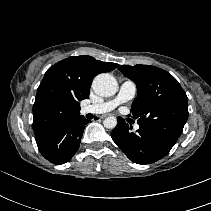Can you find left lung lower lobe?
<instances>
[{"label":"left lung lower lobe","instance_id":"1","mask_svg":"<svg viewBox=\"0 0 211 211\" xmlns=\"http://www.w3.org/2000/svg\"><path fill=\"white\" fill-rule=\"evenodd\" d=\"M111 137L117 146L134 163L150 164L165 157L174 146L149 129L140 127L135 133L118 117Z\"/></svg>","mask_w":211,"mask_h":211}]
</instances>
